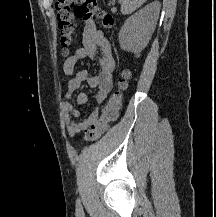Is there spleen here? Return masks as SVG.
I'll return each instance as SVG.
<instances>
[{
  "label": "spleen",
  "instance_id": "3e777b00",
  "mask_svg": "<svg viewBox=\"0 0 216 217\" xmlns=\"http://www.w3.org/2000/svg\"><path fill=\"white\" fill-rule=\"evenodd\" d=\"M146 1L147 0H122L121 13L123 15L131 14Z\"/></svg>",
  "mask_w": 216,
  "mask_h": 217
}]
</instances>
